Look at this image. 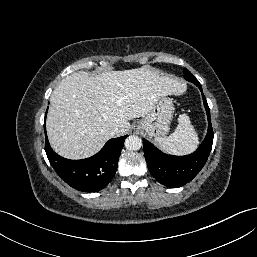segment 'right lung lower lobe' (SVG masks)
Segmentation results:
<instances>
[{
    "instance_id": "right-lung-lower-lobe-1",
    "label": "right lung lower lobe",
    "mask_w": 257,
    "mask_h": 257,
    "mask_svg": "<svg viewBox=\"0 0 257 257\" xmlns=\"http://www.w3.org/2000/svg\"><path fill=\"white\" fill-rule=\"evenodd\" d=\"M126 137L110 139L96 155L83 160L59 156L52 150L47 136L45 151L50 164L67 184L79 191L97 192L106 187L115 175Z\"/></svg>"
}]
</instances>
